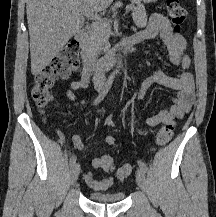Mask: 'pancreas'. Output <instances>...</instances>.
Wrapping results in <instances>:
<instances>
[{
	"label": "pancreas",
	"instance_id": "obj_1",
	"mask_svg": "<svg viewBox=\"0 0 216 217\" xmlns=\"http://www.w3.org/2000/svg\"><path fill=\"white\" fill-rule=\"evenodd\" d=\"M137 6H133L132 17L138 27L147 25L145 7L137 0H132ZM111 35V25L108 19H100L91 24L88 28V41L95 51H101L103 47H108V38Z\"/></svg>",
	"mask_w": 216,
	"mask_h": 217
}]
</instances>
